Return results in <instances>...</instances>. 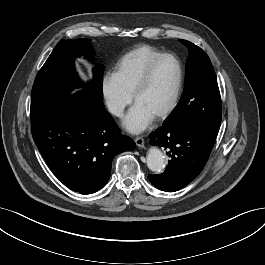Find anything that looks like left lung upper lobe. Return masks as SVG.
I'll return each instance as SVG.
<instances>
[{
	"instance_id": "1",
	"label": "left lung upper lobe",
	"mask_w": 265,
	"mask_h": 265,
	"mask_svg": "<svg viewBox=\"0 0 265 265\" xmlns=\"http://www.w3.org/2000/svg\"><path fill=\"white\" fill-rule=\"evenodd\" d=\"M188 48L185 87L181 100L163 126L190 125L215 140L222 109L215 71L208 55L193 43L180 40Z\"/></svg>"
}]
</instances>
